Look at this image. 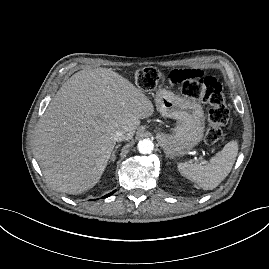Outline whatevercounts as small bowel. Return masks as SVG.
Wrapping results in <instances>:
<instances>
[{
    "mask_svg": "<svg viewBox=\"0 0 269 269\" xmlns=\"http://www.w3.org/2000/svg\"><path fill=\"white\" fill-rule=\"evenodd\" d=\"M168 80L172 84H178L185 81H192L194 79H204L206 72L204 70H195L192 67H186L174 70L169 73Z\"/></svg>",
    "mask_w": 269,
    "mask_h": 269,
    "instance_id": "obj_1",
    "label": "small bowel"
}]
</instances>
